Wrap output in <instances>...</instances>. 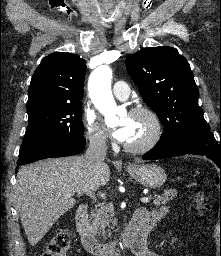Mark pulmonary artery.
Returning <instances> with one entry per match:
<instances>
[{
	"mask_svg": "<svg viewBox=\"0 0 221 256\" xmlns=\"http://www.w3.org/2000/svg\"><path fill=\"white\" fill-rule=\"evenodd\" d=\"M113 94L119 100H126L130 95V89L126 82L117 81L113 85Z\"/></svg>",
	"mask_w": 221,
	"mask_h": 256,
	"instance_id": "e3ab8cb5",
	"label": "pulmonary artery"
}]
</instances>
